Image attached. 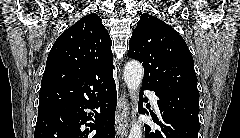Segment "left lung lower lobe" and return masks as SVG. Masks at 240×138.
<instances>
[{"label": "left lung lower lobe", "mask_w": 240, "mask_h": 138, "mask_svg": "<svg viewBox=\"0 0 240 138\" xmlns=\"http://www.w3.org/2000/svg\"><path fill=\"white\" fill-rule=\"evenodd\" d=\"M142 90L152 89L142 86ZM156 95L159 98L157 104L162 116L161 122L156 121V123L161 130H153L145 125L146 137L198 138L199 93L193 90H181L172 93L156 92ZM140 112L148 114L143 108Z\"/></svg>", "instance_id": "left-lung-lower-lobe-1"}]
</instances>
